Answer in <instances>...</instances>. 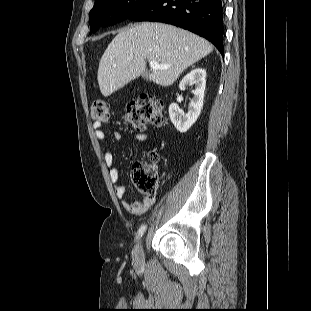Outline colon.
Returning a JSON list of instances; mask_svg holds the SVG:
<instances>
[{
	"instance_id": "obj_1",
	"label": "colon",
	"mask_w": 311,
	"mask_h": 311,
	"mask_svg": "<svg viewBox=\"0 0 311 311\" xmlns=\"http://www.w3.org/2000/svg\"><path fill=\"white\" fill-rule=\"evenodd\" d=\"M90 116L98 122H106L110 118L109 107L103 99H95L90 106ZM125 116L127 122L137 130L143 129L148 123L161 125L164 116L161 103L153 95L144 94L126 105ZM150 161H155L157 155H148ZM133 184L138 192L154 197L160 187V177L150 162L136 163L131 170Z\"/></svg>"
}]
</instances>
